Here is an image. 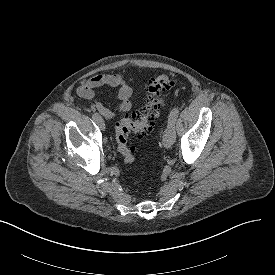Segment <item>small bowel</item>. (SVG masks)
I'll use <instances>...</instances> for the list:
<instances>
[{"label": "small bowel", "mask_w": 275, "mask_h": 275, "mask_svg": "<svg viewBox=\"0 0 275 275\" xmlns=\"http://www.w3.org/2000/svg\"><path fill=\"white\" fill-rule=\"evenodd\" d=\"M102 87L118 88V103L113 107L94 101L91 110L97 111L106 120H112L117 113L128 112L133 105V99L136 95L131 82L127 81L120 74H98L84 81L77 89L79 97L86 100H94L95 89Z\"/></svg>", "instance_id": "1"}]
</instances>
